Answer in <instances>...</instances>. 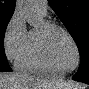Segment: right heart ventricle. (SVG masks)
I'll return each instance as SVG.
<instances>
[{"label": "right heart ventricle", "instance_id": "obj_1", "mask_svg": "<svg viewBox=\"0 0 89 89\" xmlns=\"http://www.w3.org/2000/svg\"><path fill=\"white\" fill-rule=\"evenodd\" d=\"M17 67L21 71L32 75L53 78H60L63 76L52 70L48 65L41 49L38 28L29 31L27 47L17 61Z\"/></svg>", "mask_w": 89, "mask_h": 89}]
</instances>
